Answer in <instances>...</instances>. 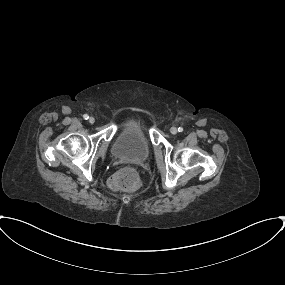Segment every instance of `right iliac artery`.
<instances>
[{
  "instance_id": "obj_1",
  "label": "right iliac artery",
  "mask_w": 285,
  "mask_h": 285,
  "mask_svg": "<svg viewBox=\"0 0 285 285\" xmlns=\"http://www.w3.org/2000/svg\"><path fill=\"white\" fill-rule=\"evenodd\" d=\"M83 118H84L85 120H88V119H89V116H88L87 114H84V115H83Z\"/></svg>"
}]
</instances>
